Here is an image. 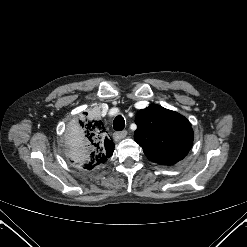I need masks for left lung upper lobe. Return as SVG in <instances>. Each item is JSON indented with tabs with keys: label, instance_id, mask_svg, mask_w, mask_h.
<instances>
[{
	"label": "left lung upper lobe",
	"instance_id": "left-lung-upper-lobe-1",
	"mask_svg": "<svg viewBox=\"0 0 247 247\" xmlns=\"http://www.w3.org/2000/svg\"><path fill=\"white\" fill-rule=\"evenodd\" d=\"M135 141L153 162L172 165L182 160L193 144L190 122L177 112L151 104L135 118Z\"/></svg>",
	"mask_w": 247,
	"mask_h": 247
}]
</instances>
